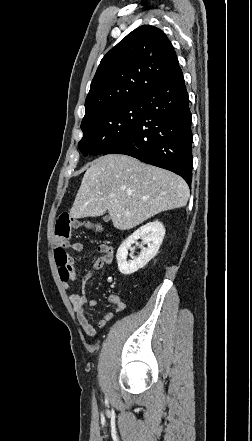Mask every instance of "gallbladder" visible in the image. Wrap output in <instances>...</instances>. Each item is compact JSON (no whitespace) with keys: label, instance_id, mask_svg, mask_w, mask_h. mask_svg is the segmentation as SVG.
<instances>
[{"label":"gallbladder","instance_id":"1","mask_svg":"<svg viewBox=\"0 0 252 441\" xmlns=\"http://www.w3.org/2000/svg\"><path fill=\"white\" fill-rule=\"evenodd\" d=\"M109 217L108 216H105V217H103V220L105 221V222H107V221H109Z\"/></svg>","mask_w":252,"mask_h":441}]
</instances>
